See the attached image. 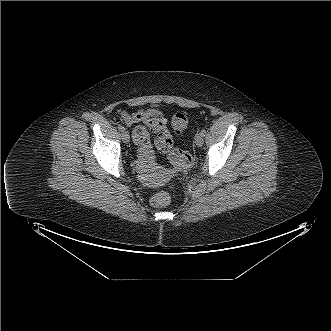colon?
<instances>
[{"instance_id":"1","label":"colon","mask_w":331,"mask_h":331,"mask_svg":"<svg viewBox=\"0 0 331 331\" xmlns=\"http://www.w3.org/2000/svg\"><path fill=\"white\" fill-rule=\"evenodd\" d=\"M143 123L155 134V145L162 153H167L171 163L176 167H187L192 163V156L189 152L173 148L171 134L166 130L165 118L160 111L156 109H147L143 112ZM189 115L186 112H180L173 115L171 126L176 134L182 133L188 126ZM136 133L144 137L147 130L143 126L136 129ZM171 201L170 190H162L155 194L151 199V204L155 207H164Z\"/></svg>"}]
</instances>
